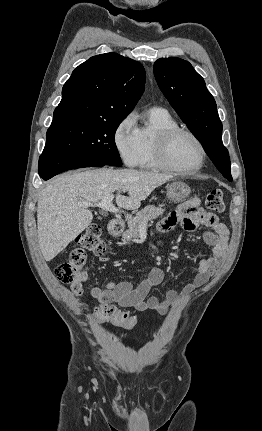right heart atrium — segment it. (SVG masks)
Segmentation results:
<instances>
[{
    "instance_id": "1",
    "label": "right heart atrium",
    "mask_w": 262,
    "mask_h": 431,
    "mask_svg": "<svg viewBox=\"0 0 262 431\" xmlns=\"http://www.w3.org/2000/svg\"><path fill=\"white\" fill-rule=\"evenodd\" d=\"M113 143L123 162L135 166L139 157L138 128L132 114L125 116L115 127Z\"/></svg>"
}]
</instances>
